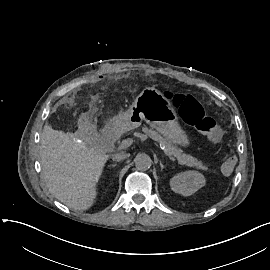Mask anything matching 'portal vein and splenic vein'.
Listing matches in <instances>:
<instances>
[{
    "mask_svg": "<svg viewBox=\"0 0 270 270\" xmlns=\"http://www.w3.org/2000/svg\"><path fill=\"white\" fill-rule=\"evenodd\" d=\"M133 142H134L133 137L128 136V137H126V139L124 141L119 142L118 146H116V149L124 150L126 148H129V147H131ZM161 148L165 151L164 147H161ZM168 159H171V155H168ZM172 161H175V157H172ZM176 162H178V161H176Z\"/></svg>",
    "mask_w": 270,
    "mask_h": 270,
    "instance_id": "18ae733b",
    "label": "portal vein and splenic vein"
}]
</instances>
